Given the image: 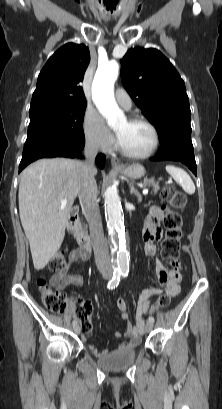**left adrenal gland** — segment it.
<instances>
[{
  "mask_svg": "<svg viewBox=\"0 0 222 409\" xmlns=\"http://www.w3.org/2000/svg\"><path fill=\"white\" fill-rule=\"evenodd\" d=\"M129 188H130V194H134V195L137 197L138 203L141 202L142 196H141V194L138 192V190L134 187V185H133V184H130V185H129Z\"/></svg>",
  "mask_w": 222,
  "mask_h": 409,
  "instance_id": "1",
  "label": "left adrenal gland"
}]
</instances>
